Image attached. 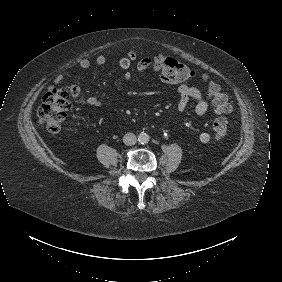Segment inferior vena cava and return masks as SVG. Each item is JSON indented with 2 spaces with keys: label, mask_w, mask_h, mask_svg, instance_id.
<instances>
[{
  "label": "inferior vena cava",
  "mask_w": 282,
  "mask_h": 282,
  "mask_svg": "<svg viewBox=\"0 0 282 282\" xmlns=\"http://www.w3.org/2000/svg\"><path fill=\"white\" fill-rule=\"evenodd\" d=\"M137 142L136 136L133 133H126L123 136V143L128 146L135 145Z\"/></svg>",
  "instance_id": "inferior-vena-cava-1"
}]
</instances>
